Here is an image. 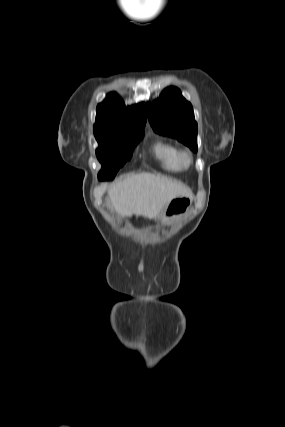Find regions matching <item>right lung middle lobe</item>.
Listing matches in <instances>:
<instances>
[{
	"instance_id": "obj_1",
	"label": "right lung middle lobe",
	"mask_w": 285,
	"mask_h": 427,
	"mask_svg": "<svg viewBox=\"0 0 285 427\" xmlns=\"http://www.w3.org/2000/svg\"><path fill=\"white\" fill-rule=\"evenodd\" d=\"M143 128L94 130L99 144L96 150L98 160L102 163L100 180H111L117 171L130 160L136 144L142 139Z\"/></svg>"
}]
</instances>
